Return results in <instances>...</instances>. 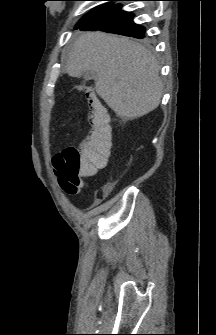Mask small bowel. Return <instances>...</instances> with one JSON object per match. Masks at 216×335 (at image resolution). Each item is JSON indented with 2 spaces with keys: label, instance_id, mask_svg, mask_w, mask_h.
<instances>
[{
  "label": "small bowel",
  "instance_id": "obj_1",
  "mask_svg": "<svg viewBox=\"0 0 216 335\" xmlns=\"http://www.w3.org/2000/svg\"><path fill=\"white\" fill-rule=\"evenodd\" d=\"M109 141V140H108ZM111 143V142H110ZM85 179H90V178H84V180ZM83 185H79V190H80V188L82 187Z\"/></svg>",
  "mask_w": 216,
  "mask_h": 335
}]
</instances>
